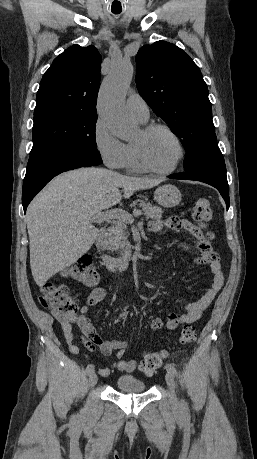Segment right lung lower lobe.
<instances>
[{"label": "right lung lower lobe", "instance_id": "1", "mask_svg": "<svg viewBox=\"0 0 257 459\" xmlns=\"http://www.w3.org/2000/svg\"><path fill=\"white\" fill-rule=\"evenodd\" d=\"M102 159L87 155L82 151L56 149L30 154L23 181L22 205L26 212L34 196L56 175L84 166H95Z\"/></svg>", "mask_w": 257, "mask_h": 459}]
</instances>
